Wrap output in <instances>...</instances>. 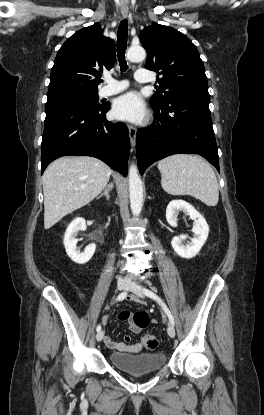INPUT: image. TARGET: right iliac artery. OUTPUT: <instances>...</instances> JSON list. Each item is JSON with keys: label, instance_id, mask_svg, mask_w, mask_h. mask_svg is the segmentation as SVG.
I'll use <instances>...</instances> for the list:
<instances>
[{"label": "right iliac artery", "instance_id": "obj_1", "mask_svg": "<svg viewBox=\"0 0 264 415\" xmlns=\"http://www.w3.org/2000/svg\"><path fill=\"white\" fill-rule=\"evenodd\" d=\"M126 296H127V291H124L118 295L117 300L122 301ZM100 330H101V325L98 324L96 327V331L99 332Z\"/></svg>", "mask_w": 264, "mask_h": 415}]
</instances>
